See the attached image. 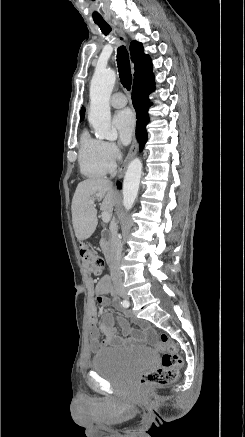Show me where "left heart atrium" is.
Masks as SVG:
<instances>
[{
    "instance_id": "obj_1",
    "label": "left heart atrium",
    "mask_w": 245,
    "mask_h": 437,
    "mask_svg": "<svg viewBox=\"0 0 245 437\" xmlns=\"http://www.w3.org/2000/svg\"><path fill=\"white\" fill-rule=\"evenodd\" d=\"M113 126L118 133L122 143L128 144L135 129V116L130 109L118 111L113 117Z\"/></svg>"
}]
</instances>
